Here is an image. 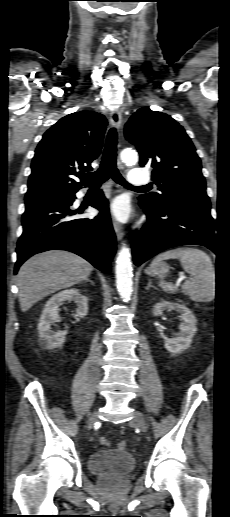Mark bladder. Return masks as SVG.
I'll use <instances>...</instances> for the list:
<instances>
[{
    "label": "bladder",
    "mask_w": 230,
    "mask_h": 517,
    "mask_svg": "<svg viewBox=\"0 0 230 517\" xmlns=\"http://www.w3.org/2000/svg\"><path fill=\"white\" fill-rule=\"evenodd\" d=\"M136 466L135 457L117 449H104L91 454L89 470L97 475H126Z\"/></svg>",
    "instance_id": "31cf9c89"
}]
</instances>
